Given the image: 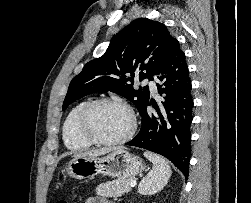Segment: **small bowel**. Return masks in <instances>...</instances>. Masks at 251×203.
I'll use <instances>...</instances> for the list:
<instances>
[{
	"instance_id": "obj_1",
	"label": "small bowel",
	"mask_w": 251,
	"mask_h": 203,
	"mask_svg": "<svg viewBox=\"0 0 251 203\" xmlns=\"http://www.w3.org/2000/svg\"><path fill=\"white\" fill-rule=\"evenodd\" d=\"M85 203H113L111 201L106 200L105 198L101 197V196H92L89 197Z\"/></svg>"
}]
</instances>
